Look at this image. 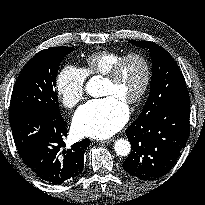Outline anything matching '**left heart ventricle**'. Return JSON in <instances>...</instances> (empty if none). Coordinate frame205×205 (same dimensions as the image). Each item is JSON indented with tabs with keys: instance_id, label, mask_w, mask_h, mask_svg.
<instances>
[{
	"instance_id": "b2bd125f",
	"label": "left heart ventricle",
	"mask_w": 205,
	"mask_h": 205,
	"mask_svg": "<svg viewBox=\"0 0 205 205\" xmlns=\"http://www.w3.org/2000/svg\"><path fill=\"white\" fill-rule=\"evenodd\" d=\"M144 80V66L138 59L127 61L116 82L104 81L102 96H115L127 102L140 90Z\"/></svg>"
}]
</instances>
